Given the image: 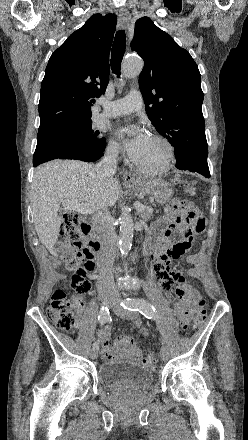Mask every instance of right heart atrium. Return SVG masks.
Masks as SVG:
<instances>
[{
    "instance_id": "1",
    "label": "right heart atrium",
    "mask_w": 248,
    "mask_h": 440,
    "mask_svg": "<svg viewBox=\"0 0 248 440\" xmlns=\"http://www.w3.org/2000/svg\"><path fill=\"white\" fill-rule=\"evenodd\" d=\"M106 155L110 160L117 161L121 157V150L119 145L113 141L109 140L106 146Z\"/></svg>"
}]
</instances>
